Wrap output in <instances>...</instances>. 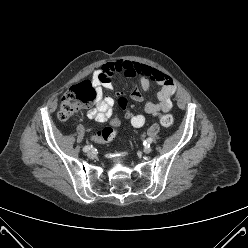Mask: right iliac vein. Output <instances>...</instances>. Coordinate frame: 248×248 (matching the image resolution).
<instances>
[{
    "label": "right iliac vein",
    "instance_id": "1",
    "mask_svg": "<svg viewBox=\"0 0 248 248\" xmlns=\"http://www.w3.org/2000/svg\"><path fill=\"white\" fill-rule=\"evenodd\" d=\"M87 156L90 158V159H94L96 157V154L93 152V151H89L87 153Z\"/></svg>",
    "mask_w": 248,
    "mask_h": 248
}]
</instances>
